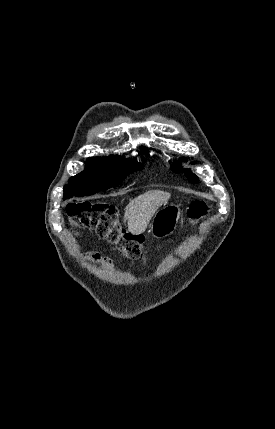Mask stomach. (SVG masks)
<instances>
[{"label": "stomach", "mask_w": 275, "mask_h": 429, "mask_svg": "<svg viewBox=\"0 0 275 429\" xmlns=\"http://www.w3.org/2000/svg\"><path fill=\"white\" fill-rule=\"evenodd\" d=\"M181 210L178 205H168L155 213L150 224L151 234L156 238L170 235L176 229Z\"/></svg>", "instance_id": "obj_1"}]
</instances>
